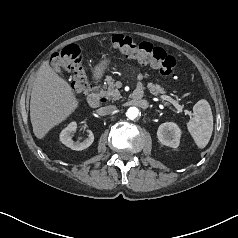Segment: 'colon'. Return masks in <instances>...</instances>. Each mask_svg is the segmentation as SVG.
I'll use <instances>...</instances> for the list:
<instances>
[{
  "label": "colon",
  "instance_id": "obj_1",
  "mask_svg": "<svg viewBox=\"0 0 238 238\" xmlns=\"http://www.w3.org/2000/svg\"><path fill=\"white\" fill-rule=\"evenodd\" d=\"M106 45L141 64L149 65L162 75L177 77L175 58L149 42H136L129 36L114 34L107 38ZM51 63L54 67L70 73L71 89L75 94H83L90 90L78 46L68 45L54 53Z\"/></svg>",
  "mask_w": 238,
  "mask_h": 238
}]
</instances>
